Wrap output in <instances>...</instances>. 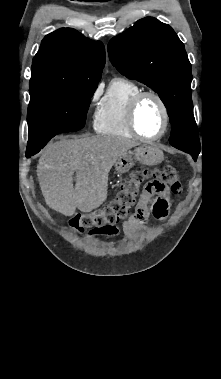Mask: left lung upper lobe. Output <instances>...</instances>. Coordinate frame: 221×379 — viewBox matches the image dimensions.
Masks as SVG:
<instances>
[{"mask_svg":"<svg viewBox=\"0 0 221 379\" xmlns=\"http://www.w3.org/2000/svg\"><path fill=\"white\" fill-rule=\"evenodd\" d=\"M107 48L120 73L158 93L172 124L170 144L197 157L200 141L191 98V64L174 30L146 17L113 37Z\"/></svg>","mask_w":221,"mask_h":379,"instance_id":"5c2ea615","label":"left lung upper lobe"}]
</instances>
